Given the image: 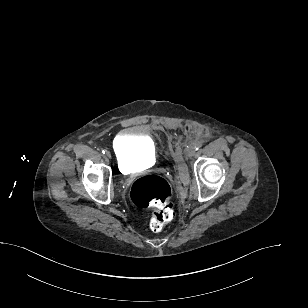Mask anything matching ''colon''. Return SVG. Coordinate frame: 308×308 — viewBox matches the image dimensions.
<instances>
[{"label": "colon", "instance_id": "1", "mask_svg": "<svg viewBox=\"0 0 308 308\" xmlns=\"http://www.w3.org/2000/svg\"><path fill=\"white\" fill-rule=\"evenodd\" d=\"M130 196L137 207L153 211L152 230L160 231L173 218L172 189L165 178L155 174L137 178Z\"/></svg>", "mask_w": 308, "mask_h": 308}]
</instances>
